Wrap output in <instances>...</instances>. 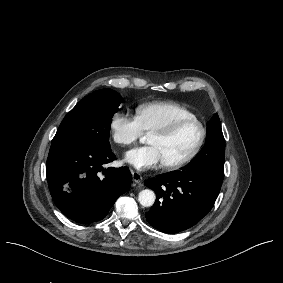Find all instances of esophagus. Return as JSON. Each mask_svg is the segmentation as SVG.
Here are the masks:
<instances>
[{
    "label": "esophagus",
    "mask_w": 283,
    "mask_h": 283,
    "mask_svg": "<svg viewBox=\"0 0 283 283\" xmlns=\"http://www.w3.org/2000/svg\"><path fill=\"white\" fill-rule=\"evenodd\" d=\"M132 179L135 183H141L142 182V176L137 171H132Z\"/></svg>",
    "instance_id": "obj_1"
}]
</instances>
